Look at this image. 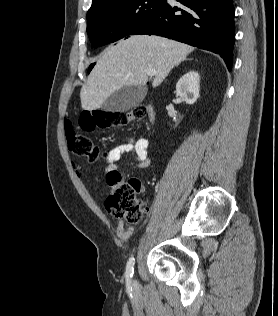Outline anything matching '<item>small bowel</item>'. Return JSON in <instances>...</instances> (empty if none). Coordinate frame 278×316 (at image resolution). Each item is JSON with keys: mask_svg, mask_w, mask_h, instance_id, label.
Returning a JSON list of instances; mask_svg holds the SVG:
<instances>
[{"mask_svg": "<svg viewBox=\"0 0 278 316\" xmlns=\"http://www.w3.org/2000/svg\"><path fill=\"white\" fill-rule=\"evenodd\" d=\"M127 154H131L134 158L133 161H127L125 163L127 166L133 168L148 167L151 162L149 140L145 137L130 139L111 149L105 158L107 173L117 172L118 162ZM75 170L77 173L80 172L77 167ZM116 232L122 241L127 242L131 238L133 228L123 221H120L117 225Z\"/></svg>", "mask_w": 278, "mask_h": 316, "instance_id": "small-bowel-1", "label": "small bowel"}]
</instances>
